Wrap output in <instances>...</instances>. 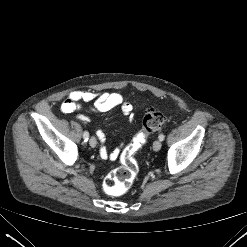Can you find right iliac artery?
I'll return each instance as SVG.
<instances>
[{
    "mask_svg": "<svg viewBox=\"0 0 247 247\" xmlns=\"http://www.w3.org/2000/svg\"><path fill=\"white\" fill-rule=\"evenodd\" d=\"M83 138H84L85 142L88 141V139H89V133H88L87 131H85V132L83 133Z\"/></svg>",
    "mask_w": 247,
    "mask_h": 247,
    "instance_id": "1",
    "label": "right iliac artery"
}]
</instances>
